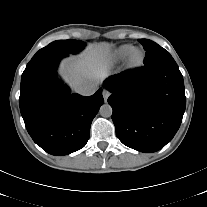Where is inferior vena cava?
Here are the masks:
<instances>
[{"label":"inferior vena cava","instance_id":"602c4592","mask_svg":"<svg viewBox=\"0 0 207 207\" xmlns=\"http://www.w3.org/2000/svg\"><path fill=\"white\" fill-rule=\"evenodd\" d=\"M97 89H98V83L94 81H84L77 84L74 87L75 92L84 96H90L94 94Z\"/></svg>","mask_w":207,"mask_h":207}]
</instances>
